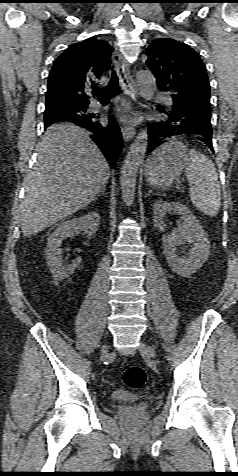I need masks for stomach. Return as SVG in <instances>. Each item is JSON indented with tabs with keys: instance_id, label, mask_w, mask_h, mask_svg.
I'll use <instances>...</instances> for the list:
<instances>
[{
	"instance_id": "obj_1",
	"label": "stomach",
	"mask_w": 238,
	"mask_h": 476,
	"mask_svg": "<svg viewBox=\"0 0 238 476\" xmlns=\"http://www.w3.org/2000/svg\"><path fill=\"white\" fill-rule=\"evenodd\" d=\"M189 162L185 145L175 139L161 145L147 159L145 177L157 188H168L180 176Z\"/></svg>"
}]
</instances>
